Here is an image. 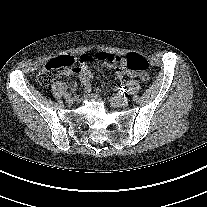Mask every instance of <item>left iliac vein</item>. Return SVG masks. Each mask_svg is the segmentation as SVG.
Masks as SVG:
<instances>
[{"label":"left iliac vein","mask_w":207,"mask_h":207,"mask_svg":"<svg viewBox=\"0 0 207 207\" xmlns=\"http://www.w3.org/2000/svg\"><path fill=\"white\" fill-rule=\"evenodd\" d=\"M111 105L114 107L126 106L129 103L128 99L123 96H113L110 98Z\"/></svg>","instance_id":"1"}]
</instances>
